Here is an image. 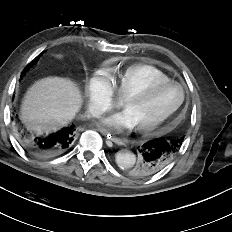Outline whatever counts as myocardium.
<instances>
[{
    "mask_svg": "<svg viewBox=\"0 0 232 232\" xmlns=\"http://www.w3.org/2000/svg\"><path fill=\"white\" fill-rule=\"evenodd\" d=\"M166 86H177L181 90V98L177 105H175L168 113H166L162 118L159 120L136 127V130L140 133H150L158 129L160 126L165 124L167 121H169L182 107L185 98H186V90L182 84L175 80H167V81H162V82H157L154 84H151L143 89H140L138 91L132 92L128 94L127 96L124 97V101H132V100H144L147 97H149L151 94L156 92L157 90L166 87Z\"/></svg>",
    "mask_w": 232,
    "mask_h": 232,
    "instance_id": "myocardium-1",
    "label": "myocardium"
}]
</instances>
